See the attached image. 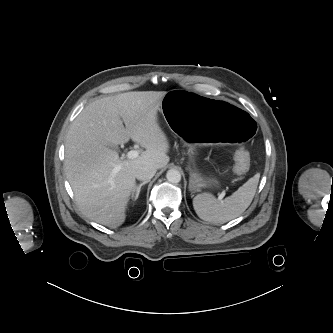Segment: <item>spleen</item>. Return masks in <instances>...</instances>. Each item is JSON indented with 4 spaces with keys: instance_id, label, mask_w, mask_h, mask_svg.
<instances>
[{
    "instance_id": "obj_1",
    "label": "spleen",
    "mask_w": 333,
    "mask_h": 333,
    "mask_svg": "<svg viewBox=\"0 0 333 333\" xmlns=\"http://www.w3.org/2000/svg\"><path fill=\"white\" fill-rule=\"evenodd\" d=\"M260 174L254 175L231 196L218 201L209 193L198 194L193 198V207L198 217L215 224L226 223L241 215L251 204Z\"/></svg>"
}]
</instances>
